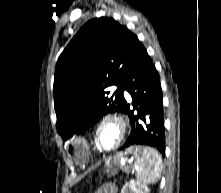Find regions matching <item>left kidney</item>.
<instances>
[{
  "label": "left kidney",
  "mask_w": 221,
  "mask_h": 193,
  "mask_svg": "<svg viewBox=\"0 0 221 193\" xmlns=\"http://www.w3.org/2000/svg\"><path fill=\"white\" fill-rule=\"evenodd\" d=\"M149 188L141 181L131 180L121 189V193H148Z\"/></svg>",
  "instance_id": "5707ae66"
}]
</instances>
